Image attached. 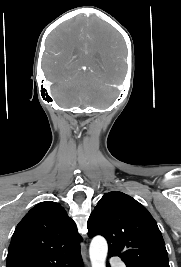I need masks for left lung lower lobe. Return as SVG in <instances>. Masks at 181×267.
I'll return each instance as SVG.
<instances>
[{
	"mask_svg": "<svg viewBox=\"0 0 181 267\" xmlns=\"http://www.w3.org/2000/svg\"><path fill=\"white\" fill-rule=\"evenodd\" d=\"M109 256L112 257V256H115V255L109 253ZM107 267H110V265L107 264Z\"/></svg>",
	"mask_w": 181,
	"mask_h": 267,
	"instance_id": "obj_1",
	"label": "left lung lower lobe"
}]
</instances>
